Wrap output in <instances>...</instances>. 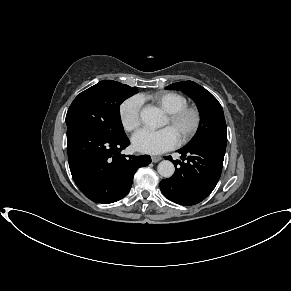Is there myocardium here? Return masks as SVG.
Returning a JSON list of instances; mask_svg holds the SVG:
<instances>
[{"label":"myocardium","mask_w":291,"mask_h":291,"mask_svg":"<svg viewBox=\"0 0 291 291\" xmlns=\"http://www.w3.org/2000/svg\"><path fill=\"white\" fill-rule=\"evenodd\" d=\"M186 117L192 118V125L191 128L187 133H185L180 139V144H186L189 141H191L199 132V129L201 127L202 122V115L201 111L198 107L193 105H186L176 111L168 112L167 118L171 125H175L179 123L181 120H183Z\"/></svg>","instance_id":"myocardium-1"}]
</instances>
